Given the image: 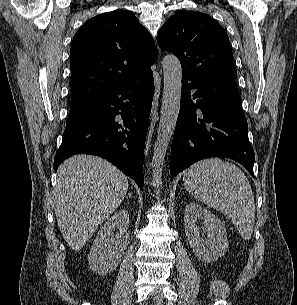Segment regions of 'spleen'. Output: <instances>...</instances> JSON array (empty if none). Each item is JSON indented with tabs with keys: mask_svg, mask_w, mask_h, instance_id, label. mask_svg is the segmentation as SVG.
<instances>
[{
	"mask_svg": "<svg viewBox=\"0 0 297 305\" xmlns=\"http://www.w3.org/2000/svg\"><path fill=\"white\" fill-rule=\"evenodd\" d=\"M183 182L195 199L231 219L242 238H251L254 196L246 175L237 166L218 158L202 160L185 171Z\"/></svg>",
	"mask_w": 297,
	"mask_h": 305,
	"instance_id": "spleen-1",
	"label": "spleen"
}]
</instances>
